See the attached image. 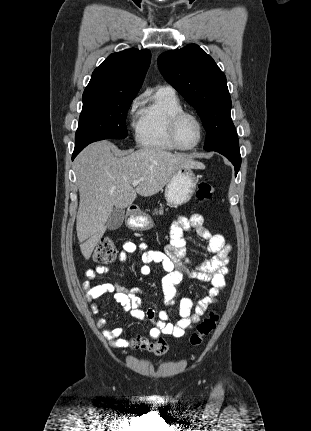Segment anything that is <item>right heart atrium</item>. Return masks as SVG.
I'll return each mask as SVG.
<instances>
[{
    "label": "right heart atrium",
    "instance_id": "d8ad5b80",
    "mask_svg": "<svg viewBox=\"0 0 311 431\" xmlns=\"http://www.w3.org/2000/svg\"><path fill=\"white\" fill-rule=\"evenodd\" d=\"M144 100H145L144 94L135 96L131 100L129 107H128V113L132 117V121L135 120L137 109L143 104Z\"/></svg>",
    "mask_w": 311,
    "mask_h": 431
}]
</instances>
